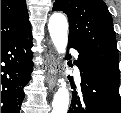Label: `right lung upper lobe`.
<instances>
[{"label": "right lung upper lobe", "instance_id": "obj_1", "mask_svg": "<svg viewBox=\"0 0 121 113\" xmlns=\"http://www.w3.org/2000/svg\"><path fill=\"white\" fill-rule=\"evenodd\" d=\"M31 30L25 0H1V43Z\"/></svg>", "mask_w": 121, "mask_h": 113}]
</instances>
